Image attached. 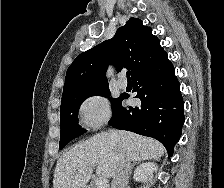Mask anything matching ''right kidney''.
Wrapping results in <instances>:
<instances>
[{
	"mask_svg": "<svg viewBox=\"0 0 224 188\" xmlns=\"http://www.w3.org/2000/svg\"><path fill=\"white\" fill-rule=\"evenodd\" d=\"M157 168L158 166L154 162L143 163L137 167L133 178L135 181L145 182L148 177H150V179L153 177V172L157 171Z\"/></svg>",
	"mask_w": 224,
	"mask_h": 188,
	"instance_id": "obj_1",
	"label": "right kidney"
}]
</instances>
